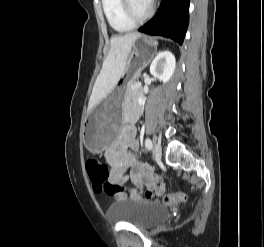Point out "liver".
Here are the masks:
<instances>
[{"instance_id": "6515ba94", "label": "liver", "mask_w": 264, "mask_h": 247, "mask_svg": "<svg viewBox=\"0 0 264 247\" xmlns=\"http://www.w3.org/2000/svg\"><path fill=\"white\" fill-rule=\"evenodd\" d=\"M140 36L139 33H128L111 38L110 51L95 81L88 104V112L92 111L97 104L108 96L124 75L132 45Z\"/></svg>"}]
</instances>
